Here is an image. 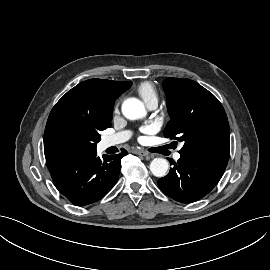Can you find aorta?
Masks as SVG:
<instances>
[{
    "label": "aorta",
    "instance_id": "obj_1",
    "mask_svg": "<svg viewBox=\"0 0 270 270\" xmlns=\"http://www.w3.org/2000/svg\"><path fill=\"white\" fill-rule=\"evenodd\" d=\"M123 115L130 120H136L146 115L144 104L136 99L129 98L122 104ZM169 168V163L164 158H155L150 163V171L156 177H163Z\"/></svg>",
    "mask_w": 270,
    "mask_h": 270
}]
</instances>
